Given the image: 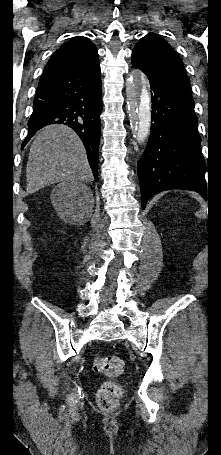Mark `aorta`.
<instances>
[{
  "instance_id": "obj_1",
  "label": "aorta",
  "mask_w": 221,
  "mask_h": 455,
  "mask_svg": "<svg viewBox=\"0 0 221 455\" xmlns=\"http://www.w3.org/2000/svg\"><path fill=\"white\" fill-rule=\"evenodd\" d=\"M126 97L133 137L144 143L151 127V99L141 70H133L126 79Z\"/></svg>"
}]
</instances>
